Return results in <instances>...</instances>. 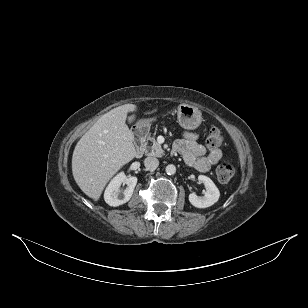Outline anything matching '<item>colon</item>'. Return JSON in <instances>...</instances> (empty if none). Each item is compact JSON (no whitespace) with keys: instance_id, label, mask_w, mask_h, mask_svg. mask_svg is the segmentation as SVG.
Listing matches in <instances>:
<instances>
[{"instance_id":"5ec220e1","label":"colon","mask_w":308,"mask_h":308,"mask_svg":"<svg viewBox=\"0 0 308 308\" xmlns=\"http://www.w3.org/2000/svg\"><path fill=\"white\" fill-rule=\"evenodd\" d=\"M223 142V136L219 129L212 128L206 138V146L209 150L218 149ZM235 174L233 165L229 163H222L216 170L217 178L222 183L229 182Z\"/></svg>"}]
</instances>
